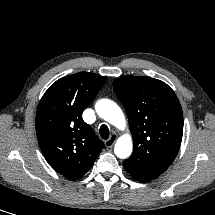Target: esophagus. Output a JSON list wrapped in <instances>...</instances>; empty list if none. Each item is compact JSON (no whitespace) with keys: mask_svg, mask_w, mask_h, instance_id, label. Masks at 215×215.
Segmentation results:
<instances>
[{"mask_svg":"<svg viewBox=\"0 0 215 215\" xmlns=\"http://www.w3.org/2000/svg\"><path fill=\"white\" fill-rule=\"evenodd\" d=\"M117 140V135L113 134L109 137L108 140L105 141V145L107 148H111Z\"/></svg>","mask_w":215,"mask_h":215,"instance_id":"obj_1","label":"esophagus"}]
</instances>
